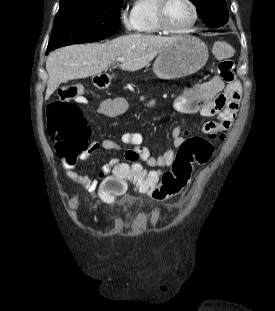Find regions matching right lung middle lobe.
Masks as SVG:
<instances>
[{
    "label": "right lung middle lobe",
    "instance_id": "right-lung-middle-lobe-1",
    "mask_svg": "<svg viewBox=\"0 0 275 311\" xmlns=\"http://www.w3.org/2000/svg\"><path fill=\"white\" fill-rule=\"evenodd\" d=\"M122 4L123 0H60L46 54L113 35L120 29Z\"/></svg>",
    "mask_w": 275,
    "mask_h": 311
}]
</instances>
